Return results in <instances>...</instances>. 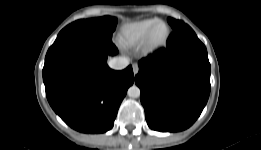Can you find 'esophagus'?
<instances>
[{
	"label": "esophagus",
	"mask_w": 261,
	"mask_h": 150,
	"mask_svg": "<svg viewBox=\"0 0 261 150\" xmlns=\"http://www.w3.org/2000/svg\"><path fill=\"white\" fill-rule=\"evenodd\" d=\"M139 72V67L137 64H133V73L136 75Z\"/></svg>",
	"instance_id": "esophagus-1"
}]
</instances>
